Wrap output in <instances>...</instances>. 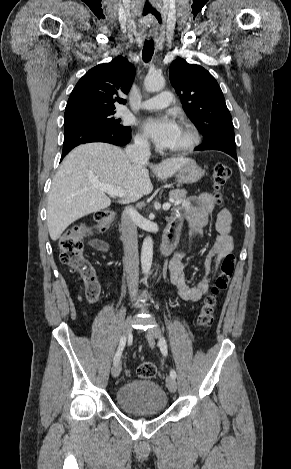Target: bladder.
I'll use <instances>...</instances> for the list:
<instances>
[{"label": "bladder", "mask_w": 291, "mask_h": 469, "mask_svg": "<svg viewBox=\"0 0 291 469\" xmlns=\"http://www.w3.org/2000/svg\"><path fill=\"white\" fill-rule=\"evenodd\" d=\"M118 406L133 415H159L168 404V397L156 382L133 379L123 384L116 393Z\"/></svg>", "instance_id": "bladder-1"}]
</instances>
